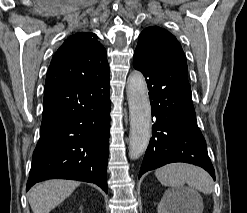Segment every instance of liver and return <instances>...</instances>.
Listing matches in <instances>:
<instances>
[{
  "mask_svg": "<svg viewBox=\"0 0 247 213\" xmlns=\"http://www.w3.org/2000/svg\"><path fill=\"white\" fill-rule=\"evenodd\" d=\"M71 180H48L34 186L29 193L33 213H49L79 186Z\"/></svg>",
  "mask_w": 247,
  "mask_h": 213,
  "instance_id": "obj_1",
  "label": "liver"
}]
</instances>
